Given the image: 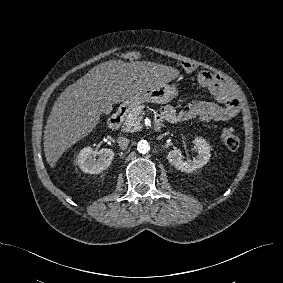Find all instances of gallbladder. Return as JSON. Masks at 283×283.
Instances as JSON below:
<instances>
[{"label":"gallbladder","mask_w":283,"mask_h":283,"mask_svg":"<svg viewBox=\"0 0 283 283\" xmlns=\"http://www.w3.org/2000/svg\"><path fill=\"white\" fill-rule=\"evenodd\" d=\"M106 115H108L109 114V112L107 111V110H105V112H104Z\"/></svg>","instance_id":"obj_1"}]
</instances>
